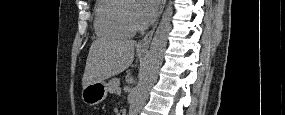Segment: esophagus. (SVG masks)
<instances>
[{
	"instance_id": "esophagus-1",
	"label": "esophagus",
	"mask_w": 285,
	"mask_h": 115,
	"mask_svg": "<svg viewBox=\"0 0 285 115\" xmlns=\"http://www.w3.org/2000/svg\"><path fill=\"white\" fill-rule=\"evenodd\" d=\"M165 2L166 0H162L161 2L160 14L163 12ZM156 25L138 42V45H137L138 48L148 49L150 42L152 40V36L155 31Z\"/></svg>"
}]
</instances>
